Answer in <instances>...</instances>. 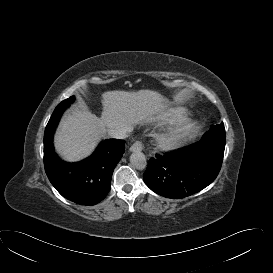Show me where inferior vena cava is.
Instances as JSON below:
<instances>
[{
    "instance_id": "inferior-vena-cava-1",
    "label": "inferior vena cava",
    "mask_w": 273,
    "mask_h": 273,
    "mask_svg": "<svg viewBox=\"0 0 273 273\" xmlns=\"http://www.w3.org/2000/svg\"><path fill=\"white\" fill-rule=\"evenodd\" d=\"M128 130L126 129H110L108 130V135L111 137V138H115V139H124L126 138V132Z\"/></svg>"
}]
</instances>
